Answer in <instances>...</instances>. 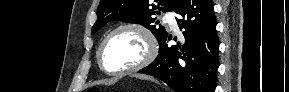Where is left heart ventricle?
Instances as JSON below:
<instances>
[{"label":"left heart ventricle","mask_w":289,"mask_h":92,"mask_svg":"<svg viewBox=\"0 0 289 92\" xmlns=\"http://www.w3.org/2000/svg\"><path fill=\"white\" fill-rule=\"evenodd\" d=\"M146 51V42L138 32L123 30L107 42L102 54L103 64L110 71L126 69L139 63Z\"/></svg>","instance_id":"left-heart-ventricle-1"}]
</instances>
